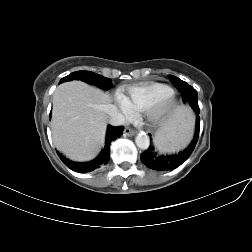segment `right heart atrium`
I'll return each instance as SVG.
<instances>
[{
  "label": "right heart atrium",
  "mask_w": 252,
  "mask_h": 252,
  "mask_svg": "<svg viewBox=\"0 0 252 252\" xmlns=\"http://www.w3.org/2000/svg\"><path fill=\"white\" fill-rule=\"evenodd\" d=\"M117 97H118L117 106H118L121 116L125 119L132 117L133 111L130 109L129 104L126 101V99L121 95H117Z\"/></svg>",
  "instance_id": "right-heart-atrium-1"
}]
</instances>
